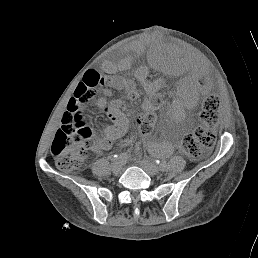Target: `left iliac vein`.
Segmentation results:
<instances>
[{"instance_id":"4c4485c4","label":"left iliac vein","mask_w":258,"mask_h":258,"mask_svg":"<svg viewBox=\"0 0 258 258\" xmlns=\"http://www.w3.org/2000/svg\"><path fill=\"white\" fill-rule=\"evenodd\" d=\"M139 164L144 169V171L151 176L157 175L160 171L159 167L149 160H141L139 161Z\"/></svg>"}]
</instances>
